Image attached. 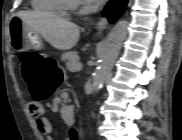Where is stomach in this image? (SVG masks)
<instances>
[{
  "label": "stomach",
  "instance_id": "0dacf381",
  "mask_svg": "<svg viewBox=\"0 0 182 140\" xmlns=\"http://www.w3.org/2000/svg\"><path fill=\"white\" fill-rule=\"evenodd\" d=\"M10 39L12 47L19 51L39 49L42 46L40 35L30 30L19 16L11 20Z\"/></svg>",
  "mask_w": 182,
  "mask_h": 140
}]
</instances>
